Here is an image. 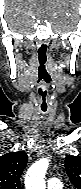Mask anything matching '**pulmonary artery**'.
<instances>
[{
  "label": "pulmonary artery",
  "mask_w": 81,
  "mask_h": 189,
  "mask_svg": "<svg viewBox=\"0 0 81 189\" xmlns=\"http://www.w3.org/2000/svg\"><path fill=\"white\" fill-rule=\"evenodd\" d=\"M47 186H48V189H62L63 188L62 182L56 177L49 178L47 180Z\"/></svg>",
  "instance_id": "obj_1"
}]
</instances>
